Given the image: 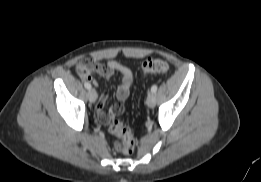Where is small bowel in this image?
Here are the masks:
<instances>
[{
    "mask_svg": "<svg viewBox=\"0 0 261 182\" xmlns=\"http://www.w3.org/2000/svg\"><path fill=\"white\" fill-rule=\"evenodd\" d=\"M80 63L85 64L88 67L89 74L79 75L83 79L92 82L96 87L99 85V83L98 80L93 76L94 74L105 79H111L116 74L120 76V85L116 92L118 103L112 106L108 112H106L104 107L109 93L107 91L102 92L95 107L97 119L102 123H107L123 113L125 110L126 101L133 86V74L131 70L114 60L101 63L92 59H84Z\"/></svg>",
    "mask_w": 261,
    "mask_h": 182,
    "instance_id": "small-bowel-1",
    "label": "small bowel"
}]
</instances>
